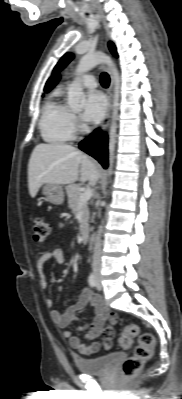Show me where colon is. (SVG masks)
Returning a JSON list of instances; mask_svg holds the SVG:
<instances>
[{"instance_id": "obj_1", "label": "colon", "mask_w": 182, "mask_h": 399, "mask_svg": "<svg viewBox=\"0 0 182 399\" xmlns=\"http://www.w3.org/2000/svg\"><path fill=\"white\" fill-rule=\"evenodd\" d=\"M32 237L36 242H44L49 235L50 226L40 216H34L31 223ZM139 338L133 356L127 358L122 364V373L132 376L141 371L144 364L151 360L155 347V337L150 332H140L137 325H126L118 339L121 348H129L134 338Z\"/></svg>"}]
</instances>
